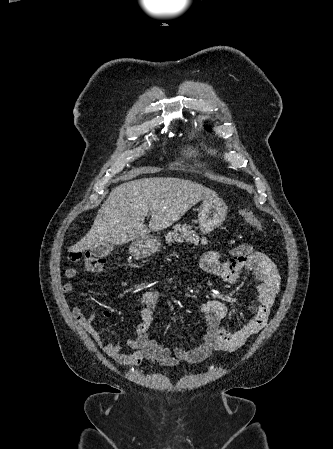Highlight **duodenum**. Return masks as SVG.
<instances>
[{"instance_id": "duodenum-1", "label": "duodenum", "mask_w": 333, "mask_h": 449, "mask_svg": "<svg viewBox=\"0 0 333 449\" xmlns=\"http://www.w3.org/2000/svg\"><path fill=\"white\" fill-rule=\"evenodd\" d=\"M146 248H147V243L145 242V243H143V244L140 246L139 250H140L141 252H145V251H146Z\"/></svg>"}]
</instances>
